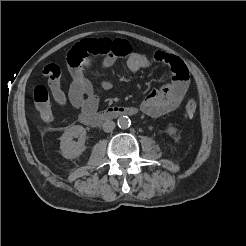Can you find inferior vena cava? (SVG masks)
<instances>
[{
    "label": "inferior vena cava",
    "instance_id": "inferior-vena-cava-1",
    "mask_svg": "<svg viewBox=\"0 0 246 246\" xmlns=\"http://www.w3.org/2000/svg\"><path fill=\"white\" fill-rule=\"evenodd\" d=\"M115 128V122L114 121H111V120H106L104 123H103V130L105 132H112Z\"/></svg>",
    "mask_w": 246,
    "mask_h": 246
}]
</instances>
